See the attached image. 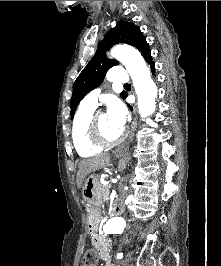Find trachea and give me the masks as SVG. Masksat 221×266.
Returning a JSON list of instances; mask_svg holds the SVG:
<instances>
[{"mask_svg": "<svg viewBox=\"0 0 221 266\" xmlns=\"http://www.w3.org/2000/svg\"><path fill=\"white\" fill-rule=\"evenodd\" d=\"M124 86H130V84L126 83V84H124Z\"/></svg>", "mask_w": 221, "mask_h": 266, "instance_id": "trachea-1", "label": "trachea"}]
</instances>
